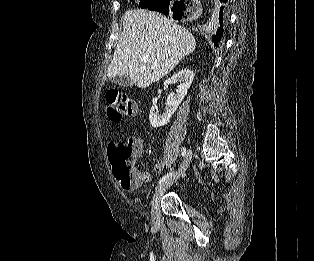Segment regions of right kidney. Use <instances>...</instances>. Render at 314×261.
Wrapping results in <instances>:
<instances>
[{
    "mask_svg": "<svg viewBox=\"0 0 314 261\" xmlns=\"http://www.w3.org/2000/svg\"><path fill=\"white\" fill-rule=\"evenodd\" d=\"M194 79V72L189 69H184L174 74L171 77V82H179L180 85L177 88L176 94H169L166 100V111L163 114H159L156 105L152 106L150 109L149 120L152 127H162L166 125L174 112L177 110L178 106L187 94Z\"/></svg>",
    "mask_w": 314,
    "mask_h": 261,
    "instance_id": "right-kidney-1",
    "label": "right kidney"
}]
</instances>
